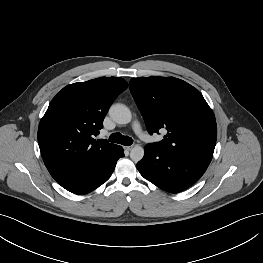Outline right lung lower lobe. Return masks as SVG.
I'll list each match as a JSON object with an SVG mask.
<instances>
[{
	"label": "right lung lower lobe",
	"instance_id": "1",
	"mask_svg": "<svg viewBox=\"0 0 263 263\" xmlns=\"http://www.w3.org/2000/svg\"><path fill=\"white\" fill-rule=\"evenodd\" d=\"M123 156L124 151L122 147L118 146L110 156L97 161L86 171L61 184V186L75 194L82 195L89 193L110 178L117 160Z\"/></svg>",
	"mask_w": 263,
	"mask_h": 263
}]
</instances>
